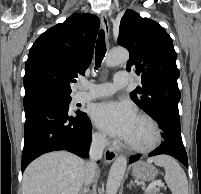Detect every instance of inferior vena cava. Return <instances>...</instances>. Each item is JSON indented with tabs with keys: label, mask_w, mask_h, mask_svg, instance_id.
I'll list each match as a JSON object with an SVG mask.
<instances>
[{
	"label": "inferior vena cava",
	"mask_w": 201,
	"mask_h": 194,
	"mask_svg": "<svg viewBox=\"0 0 201 194\" xmlns=\"http://www.w3.org/2000/svg\"><path fill=\"white\" fill-rule=\"evenodd\" d=\"M106 144L107 139L103 135L94 137L92 139L89 150L90 161L87 163L86 176L84 181V185L86 187L92 182L97 167L96 161L102 158L103 150Z\"/></svg>",
	"instance_id": "inferior-vena-cava-1"
}]
</instances>
